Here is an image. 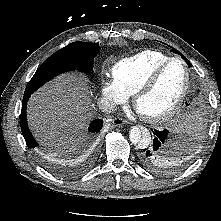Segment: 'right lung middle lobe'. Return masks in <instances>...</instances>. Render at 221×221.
<instances>
[{
  "instance_id": "right-lung-middle-lobe-1",
  "label": "right lung middle lobe",
  "mask_w": 221,
  "mask_h": 221,
  "mask_svg": "<svg viewBox=\"0 0 221 221\" xmlns=\"http://www.w3.org/2000/svg\"><path fill=\"white\" fill-rule=\"evenodd\" d=\"M99 43L73 42L47 58L27 84L24 95L31 94L55 76L73 70L90 72Z\"/></svg>"
}]
</instances>
